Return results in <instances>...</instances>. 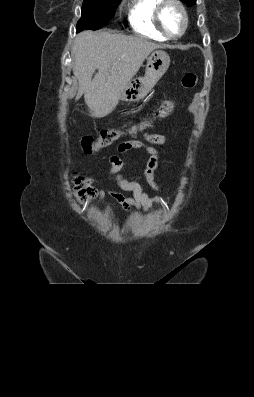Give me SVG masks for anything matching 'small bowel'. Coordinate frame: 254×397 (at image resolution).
<instances>
[{"instance_id":"obj_1","label":"small bowel","mask_w":254,"mask_h":397,"mask_svg":"<svg viewBox=\"0 0 254 397\" xmlns=\"http://www.w3.org/2000/svg\"><path fill=\"white\" fill-rule=\"evenodd\" d=\"M167 142L166 136L159 133H145L143 141L141 140H130L123 142L118 145V152L123 153L129 150L143 149L149 155L150 158L147 163V167L144 171V176L148 184L156 191L160 190L154 172L158 166L159 156L154 145H164ZM110 168L108 171L110 179H112L116 185L122 191L132 192V197L124 195L120 191L108 190V193L116 199L128 213L129 217L135 210H150L155 204L162 201L160 195L150 197L143 192L141 185L135 181H129L122 177L120 171L123 167V161L117 155L110 157ZM101 198L104 196L105 191H101Z\"/></svg>"}]
</instances>
